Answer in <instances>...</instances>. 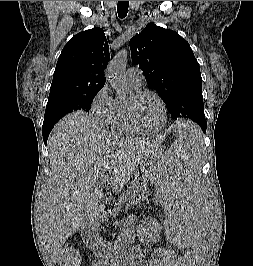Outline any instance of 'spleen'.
<instances>
[{
  "instance_id": "spleen-1",
  "label": "spleen",
  "mask_w": 253,
  "mask_h": 266,
  "mask_svg": "<svg viewBox=\"0 0 253 266\" xmlns=\"http://www.w3.org/2000/svg\"><path fill=\"white\" fill-rule=\"evenodd\" d=\"M168 153L158 160L160 176L155 177L153 194L161 201L164 222L165 248H201L206 240L208 221L213 207L204 201V169L207 135H201L195 123H172Z\"/></svg>"
}]
</instances>
